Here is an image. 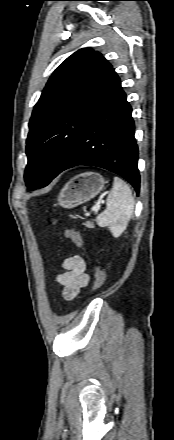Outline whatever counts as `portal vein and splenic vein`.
I'll return each mask as SVG.
<instances>
[{
  "label": "portal vein and splenic vein",
  "mask_w": 174,
  "mask_h": 440,
  "mask_svg": "<svg viewBox=\"0 0 174 440\" xmlns=\"http://www.w3.org/2000/svg\"><path fill=\"white\" fill-rule=\"evenodd\" d=\"M101 209L100 205H96L92 208L93 212H98Z\"/></svg>",
  "instance_id": "portal-vein-and-splenic-vein-1"
}]
</instances>
